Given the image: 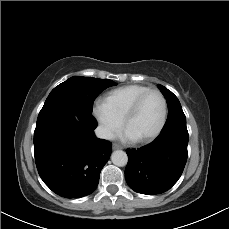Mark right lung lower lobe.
<instances>
[{
    "mask_svg": "<svg viewBox=\"0 0 229 229\" xmlns=\"http://www.w3.org/2000/svg\"><path fill=\"white\" fill-rule=\"evenodd\" d=\"M96 127L92 114L82 110L59 108L39 113L35 162L43 182L59 196L80 198L96 189L112 147L95 136Z\"/></svg>",
    "mask_w": 229,
    "mask_h": 229,
    "instance_id": "obj_1",
    "label": "right lung lower lobe"
}]
</instances>
